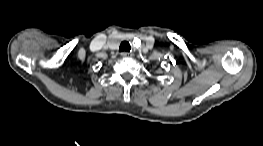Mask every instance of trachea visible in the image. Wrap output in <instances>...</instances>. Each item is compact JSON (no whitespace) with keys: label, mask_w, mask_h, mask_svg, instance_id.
Instances as JSON below:
<instances>
[{"label":"trachea","mask_w":263,"mask_h":146,"mask_svg":"<svg viewBox=\"0 0 263 146\" xmlns=\"http://www.w3.org/2000/svg\"><path fill=\"white\" fill-rule=\"evenodd\" d=\"M130 49H131V46H130V44H129V42H127V41H123V42H121V44H120V46H119V51H125V52H129L130 51Z\"/></svg>","instance_id":"3493384b"}]
</instances>
